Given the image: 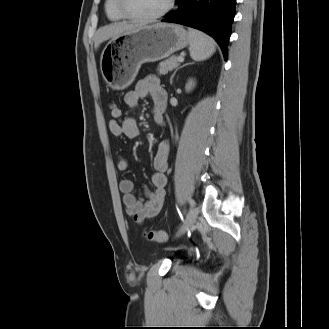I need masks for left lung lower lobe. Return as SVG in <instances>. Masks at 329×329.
Instances as JSON below:
<instances>
[{
    "label": "left lung lower lobe",
    "mask_w": 329,
    "mask_h": 329,
    "mask_svg": "<svg viewBox=\"0 0 329 329\" xmlns=\"http://www.w3.org/2000/svg\"><path fill=\"white\" fill-rule=\"evenodd\" d=\"M179 7L162 22L199 29L212 36L227 59V44L235 16L236 0H179Z\"/></svg>",
    "instance_id": "obj_1"
}]
</instances>
